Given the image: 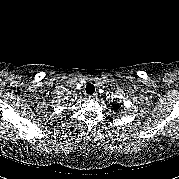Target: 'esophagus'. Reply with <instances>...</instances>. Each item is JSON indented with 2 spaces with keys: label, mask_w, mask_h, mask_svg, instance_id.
I'll list each match as a JSON object with an SVG mask.
<instances>
[{
  "label": "esophagus",
  "mask_w": 179,
  "mask_h": 179,
  "mask_svg": "<svg viewBox=\"0 0 179 179\" xmlns=\"http://www.w3.org/2000/svg\"><path fill=\"white\" fill-rule=\"evenodd\" d=\"M89 98L95 99L97 98V94L90 95Z\"/></svg>",
  "instance_id": "esophagus-1"
}]
</instances>
